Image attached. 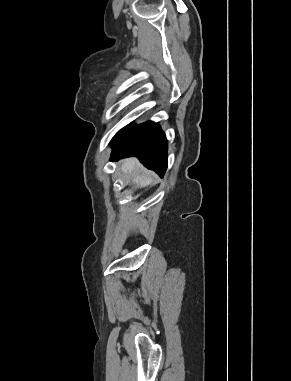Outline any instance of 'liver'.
Returning <instances> with one entry per match:
<instances>
[{
    "instance_id": "obj_1",
    "label": "liver",
    "mask_w": 291,
    "mask_h": 381,
    "mask_svg": "<svg viewBox=\"0 0 291 381\" xmlns=\"http://www.w3.org/2000/svg\"><path fill=\"white\" fill-rule=\"evenodd\" d=\"M138 166V160L136 158H130L123 162L121 170L124 174H132V182L140 187H146L153 182V178L148 174L135 175Z\"/></svg>"
}]
</instances>
